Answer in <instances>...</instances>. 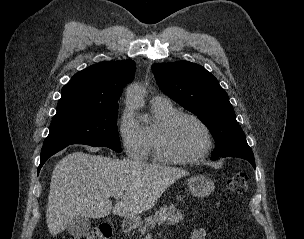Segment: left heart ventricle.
Segmentation results:
<instances>
[{"instance_id": "b2bd125f", "label": "left heart ventricle", "mask_w": 304, "mask_h": 239, "mask_svg": "<svg viewBox=\"0 0 304 239\" xmlns=\"http://www.w3.org/2000/svg\"><path fill=\"white\" fill-rule=\"evenodd\" d=\"M166 145L172 155L179 157L193 156L204 148L205 135L196 122L183 118L172 128Z\"/></svg>"}]
</instances>
